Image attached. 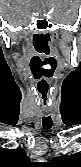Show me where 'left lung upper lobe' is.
Wrapping results in <instances>:
<instances>
[{
	"label": "left lung upper lobe",
	"instance_id": "1",
	"mask_svg": "<svg viewBox=\"0 0 81 167\" xmlns=\"http://www.w3.org/2000/svg\"><path fill=\"white\" fill-rule=\"evenodd\" d=\"M80 153L71 155H63L54 157L50 163H46L47 167H80Z\"/></svg>",
	"mask_w": 81,
	"mask_h": 167
}]
</instances>
